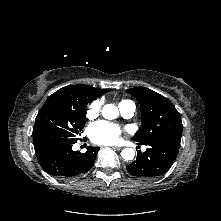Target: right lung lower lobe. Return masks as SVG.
<instances>
[{
	"instance_id": "98d812e1",
	"label": "right lung lower lobe",
	"mask_w": 221,
	"mask_h": 221,
	"mask_svg": "<svg viewBox=\"0 0 221 221\" xmlns=\"http://www.w3.org/2000/svg\"><path fill=\"white\" fill-rule=\"evenodd\" d=\"M73 144L54 143L36 150L42 168L62 179L76 178L88 172L94 165L99 147H88L85 153H80L72 150Z\"/></svg>"
}]
</instances>
